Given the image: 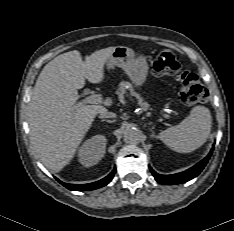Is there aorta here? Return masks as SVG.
<instances>
[{
	"label": "aorta",
	"instance_id": "aorta-1",
	"mask_svg": "<svg viewBox=\"0 0 234 231\" xmlns=\"http://www.w3.org/2000/svg\"><path fill=\"white\" fill-rule=\"evenodd\" d=\"M123 140L126 144L136 145L141 140V132L135 127L127 128L124 132Z\"/></svg>",
	"mask_w": 234,
	"mask_h": 231
}]
</instances>
